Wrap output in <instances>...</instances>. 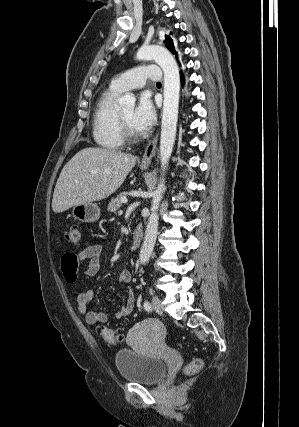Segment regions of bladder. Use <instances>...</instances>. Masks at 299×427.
I'll use <instances>...</instances> for the list:
<instances>
[{"label": "bladder", "mask_w": 299, "mask_h": 427, "mask_svg": "<svg viewBox=\"0 0 299 427\" xmlns=\"http://www.w3.org/2000/svg\"><path fill=\"white\" fill-rule=\"evenodd\" d=\"M115 365L124 380L138 384H156L167 374L164 361L130 349L116 352Z\"/></svg>", "instance_id": "bladder-1"}]
</instances>
